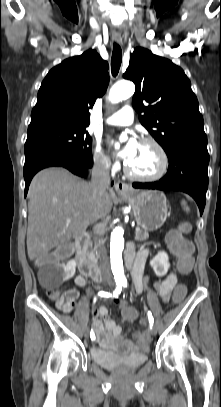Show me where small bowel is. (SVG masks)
I'll use <instances>...</instances> for the list:
<instances>
[{"instance_id": "1", "label": "small bowel", "mask_w": 221, "mask_h": 407, "mask_svg": "<svg viewBox=\"0 0 221 407\" xmlns=\"http://www.w3.org/2000/svg\"><path fill=\"white\" fill-rule=\"evenodd\" d=\"M149 251H140L135 259L134 266L132 269V281L134 287L138 293H141L149 278L144 276V268L148 258ZM75 283L78 286H85L87 280L84 275H78L75 278ZM177 284V275L174 272L168 273L162 280L154 282V288L156 289L159 297L163 302H168L170 300L169 295L172 292L173 285ZM68 293L73 296L74 301L78 298L79 293L77 290H68ZM114 302L120 307L122 305H130L124 299L114 297ZM72 308V307H71ZM71 308L68 310L70 311ZM138 312V311H137ZM95 315L102 318L94 319L92 322V328L97 336V342L101 348H110L114 344V340L118 339L124 346L131 347V343L125 339V334L121 326H119L109 315V310L106 306H100L94 311ZM129 322V321H128ZM135 337L137 339H143V332L136 331Z\"/></svg>"}]
</instances>
